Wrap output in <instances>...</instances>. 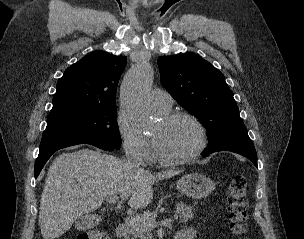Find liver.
Instances as JSON below:
<instances>
[{
	"label": "liver",
	"mask_w": 304,
	"mask_h": 239,
	"mask_svg": "<svg viewBox=\"0 0 304 239\" xmlns=\"http://www.w3.org/2000/svg\"><path fill=\"white\" fill-rule=\"evenodd\" d=\"M178 174L180 171L166 170L153 175L100 150L63 153L51 164L41 195L42 236H62L79 217L97 210L112 195L128 200L131 208H144L153 199L154 182Z\"/></svg>",
	"instance_id": "1"
}]
</instances>
